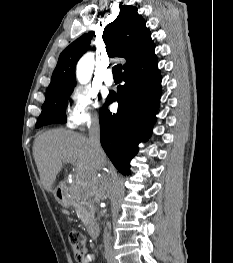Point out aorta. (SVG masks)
Instances as JSON below:
<instances>
[{"instance_id":"762f6f07","label":"aorta","mask_w":233,"mask_h":263,"mask_svg":"<svg viewBox=\"0 0 233 263\" xmlns=\"http://www.w3.org/2000/svg\"><path fill=\"white\" fill-rule=\"evenodd\" d=\"M94 60L91 54L83 56L77 65L76 77L81 84H86L92 75Z\"/></svg>"}]
</instances>
